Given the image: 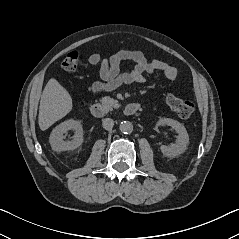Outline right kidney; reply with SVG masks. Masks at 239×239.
Returning <instances> with one entry per match:
<instances>
[{"mask_svg": "<svg viewBox=\"0 0 239 239\" xmlns=\"http://www.w3.org/2000/svg\"><path fill=\"white\" fill-rule=\"evenodd\" d=\"M74 130L73 140L64 141V133ZM51 148L56 152L74 150L83 143V128L79 121L70 119L56 126L49 137Z\"/></svg>", "mask_w": 239, "mask_h": 239, "instance_id": "ca27d5eb", "label": "right kidney"}]
</instances>
